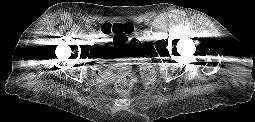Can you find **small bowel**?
<instances>
[{
	"label": "small bowel",
	"instance_id": "obj_1",
	"mask_svg": "<svg viewBox=\"0 0 255 122\" xmlns=\"http://www.w3.org/2000/svg\"><path fill=\"white\" fill-rule=\"evenodd\" d=\"M106 24L113 25L111 23H105L102 25L101 31L99 32V36L102 38L105 37V35H106L103 32V27ZM118 24H120V23H118ZM110 35H112V37L103 42L104 52L101 54L102 61L106 60L109 57L110 51L112 49L120 48V47L125 46L129 43V36H125L123 34H110ZM127 67H128V63L126 61H121L115 65L116 69H125ZM95 72L97 74L101 73V69L99 66L95 67Z\"/></svg>",
	"mask_w": 255,
	"mask_h": 122
}]
</instances>
